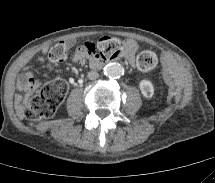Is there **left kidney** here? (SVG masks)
<instances>
[{
  "label": "left kidney",
  "mask_w": 215,
  "mask_h": 183,
  "mask_svg": "<svg viewBox=\"0 0 215 183\" xmlns=\"http://www.w3.org/2000/svg\"><path fill=\"white\" fill-rule=\"evenodd\" d=\"M139 88L142 95L146 98H151L154 94L153 84L149 80H141Z\"/></svg>",
  "instance_id": "5707ae66"
}]
</instances>
